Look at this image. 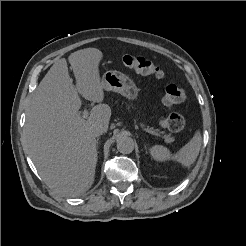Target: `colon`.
I'll use <instances>...</instances> for the list:
<instances>
[{
    "label": "colon",
    "mask_w": 246,
    "mask_h": 246,
    "mask_svg": "<svg viewBox=\"0 0 246 246\" xmlns=\"http://www.w3.org/2000/svg\"><path fill=\"white\" fill-rule=\"evenodd\" d=\"M121 61L124 66L134 70L140 75L155 76L156 78H164L166 76L163 69L144 57L126 54L122 57ZM185 98V91L178 85L171 83L167 85L163 91L161 104L165 108H171L174 105L182 103ZM159 122L162 127L172 132H180L186 127L185 118L177 113L162 117Z\"/></svg>",
    "instance_id": "5ec220e1"
}]
</instances>
